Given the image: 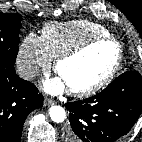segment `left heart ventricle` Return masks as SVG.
Listing matches in <instances>:
<instances>
[{
    "instance_id": "1",
    "label": "left heart ventricle",
    "mask_w": 142,
    "mask_h": 142,
    "mask_svg": "<svg viewBox=\"0 0 142 142\" xmlns=\"http://www.w3.org/2000/svg\"><path fill=\"white\" fill-rule=\"evenodd\" d=\"M118 55L112 43H100L82 55L64 62L59 76L68 89H83L100 80L114 65Z\"/></svg>"
}]
</instances>
